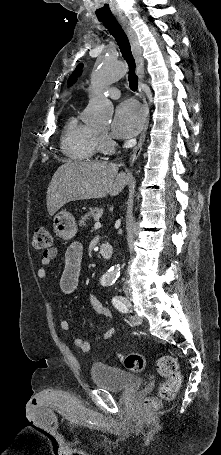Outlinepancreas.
<instances>
[{"label":"pancreas","instance_id":"cf45deb5","mask_svg":"<svg viewBox=\"0 0 221 455\" xmlns=\"http://www.w3.org/2000/svg\"><path fill=\"white\" fill-rule=\"evenodd\" d=\"M101 214H102V211L98 207H91V208H89L88 212L81 217L79 225L80 226L86 225V222L90 218L94 221H97Z\"/></svg>","mask_w":221,"mask_h":455}]
</instances>
